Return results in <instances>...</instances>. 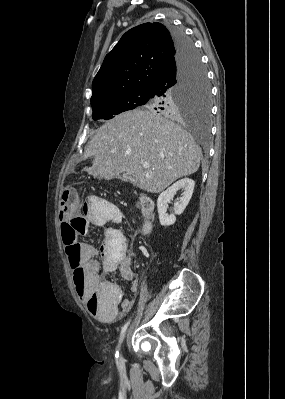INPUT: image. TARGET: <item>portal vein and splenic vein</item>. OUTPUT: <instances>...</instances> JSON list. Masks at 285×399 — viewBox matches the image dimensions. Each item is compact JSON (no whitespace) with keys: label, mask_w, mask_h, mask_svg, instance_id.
<instances>
[{"label":"portal vein and splenic vein","mask_w":285,"mask_h":399,"mask_svg":"<svg viewBox=\"0 0 285 399\" xmlns=\"http://www.w3.org/2000/svg\"><path fill=\"white\" fill-rule=\"evenodd\" d=\"M143 168H145V169L149 168V164L148 163H144L143 164Z\"/></svg>","instance_id":"18ae733b"}]
</instances>
